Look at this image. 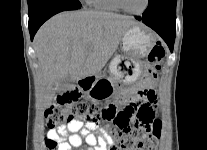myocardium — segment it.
Returning a JSON list of instances; mask_svg holds the SVG:
<instances>
[{
    "label": "myocardium",
    "instance_id": "f54148a6",
    "mask_svg": "<svg viewBox=\"0 0 207 150\" xmlns=\"http://www.w3.org/2000/svg\"><path fill=\"white\" fill-rule=\"evenodd\" d=\"M116 2V4L118 5V7L126 12V13H129V14H132V15H141L143 14L149 7V3H150V0H146L145 2V6L143 7V9H141L140 11H131L129 9H127L123 3V0H114Z\"/></svg>",
    "mask_w": 207,
    "mask_h": 150
}]
</instances>
